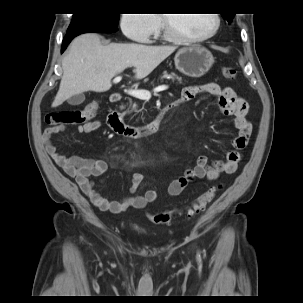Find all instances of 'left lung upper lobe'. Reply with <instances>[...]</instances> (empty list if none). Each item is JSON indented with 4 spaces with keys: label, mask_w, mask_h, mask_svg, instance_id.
<instances>
[{
    "label": "left lung upper lobe",
    "mask_w": 303,
    "mask_h": 303,
    "mask_svg": "<svg viewBox=\"0 0 303 303\" xmlns=\"http://www.w3.org/2000/svg\"><path fill=\"white\" fill-rule=\"evenodd\" d=\"M235 14H222V16L228 21L231 22Z\"/></svg>",
    "instance_id": "obj_1"
}]
</instances>
